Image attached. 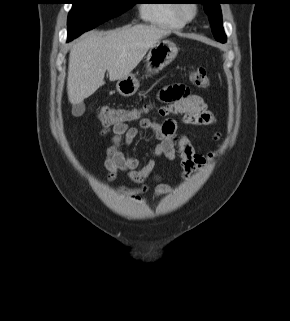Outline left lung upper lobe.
I'll return each mask as SVG.
<instances>
[{
    "label": "left lung upper lobe",
    "mask_w": 290,
    "mask_h": 321,
    "mask_svg": "<svg viewBox=\"0 0 290 321\" xmlns=\"http://www.w3.org/2000/svg\"><path fill=\"white\" fill-rule=\"evenodd\" d=\"M204 5L205 12L208 15L211 29L216 40L226 42V35L222 27V14L219 0H201Z\"/></svg>",
    "instance_id": "5c2ea615"
}]
</instances>
